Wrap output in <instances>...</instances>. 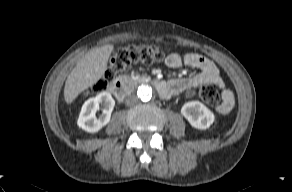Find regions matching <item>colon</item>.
I'll return each instance as SVG.
<instances>
[{
  "label": "colon",
  "mask_w": 292,
  "mask_h": 192,
  "mask_svg": "<svg viewBox=\"0 0 292 192\" xmlns=\"http://www.w3.org/2000/svg\"><path fill=\"white\" fill-rule=\"evenodd\" d=\"M163 59L164 53L155 45H129L120 48L111 59L103 78L93 85L91 91L96 93L105 91L117 75L132 64L143 63L151 65ZM190 95L198 96L203 101L214 105L221 100L219 87L216 84L202 86L197 91L191 92Z\"/></svg>",
  "instance_id": "colon-1"
}]
</instances>
